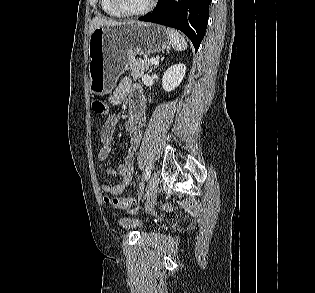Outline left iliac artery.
<instances>
[{
	"mask_svg": "<svg viewBox=\"0 0 315 293\" xmlns=\"http://www.w3.org/2000/svg\"><path fill=\"white\" fill-rule=\"evenodd\" d=\"M150 173H151L150 168H149V167H146L145 172H144V179H145L146 181L149 179Z\"/></svg>",
	"mask_w": 315,
	"mask_h": 293,
	"instance_id": "1",
	"label": "left iliac artery"
}]
</instances>
